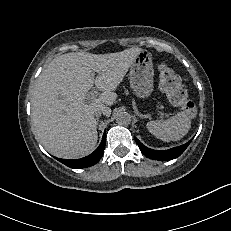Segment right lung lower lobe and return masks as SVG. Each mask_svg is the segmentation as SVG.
Masks as SVG:
<instances>
[{
	"mask_svg": "<svg viewBox=\"0 0 231 231\" xmlns=\"http://www.w3.org/2000/svg\"><path fill=\"white\" fill-rule=\"evenodd\" d=\"M104 148H105V132L99 147L90 155L75 160L60 159V158H56V159L71 168H85L96 164L100 160V158L103 155Z\"/></svg>",
	"mask_w": 231,
	"mask_h": 231,
	"instance_id": "1",
	"label": "right lung lower lobe"
}]
</instances>
